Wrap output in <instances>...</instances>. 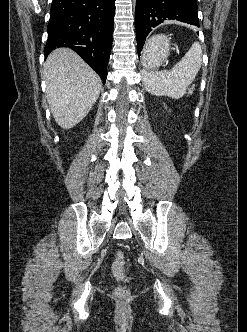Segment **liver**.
<instances>
[{"label":"liver","mask_w":247,"mask_h":332,"mask_svg":"<svg viewBox=\"0 0 247 332\" xmlns=\"http://www.w3.org/2000/svg\"><path fill=\"white\" fill-rule=\"evenodd\" d=\"M43 78L52 115L63 129L74 127L89 113L102 86L100 77L68 48L50 53Z\"/></svg>","instance_id":"1"}]
</instances>
